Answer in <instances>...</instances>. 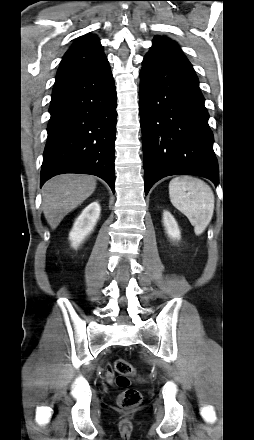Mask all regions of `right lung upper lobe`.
Segmentation results:
<instances>
[{
    "label": "right lung upper lobe",
    "mask_w": 254,
    "mask_h": 440,
    "mask_svg": "<svg viewBox=\"0 0 254 440\" xmlns=\"http://www.w3.org/2000/svg\"><path fill=\"white\" fill-rule=\"evenodd\" d=\"M106 62L100 40L95 35L81 36L65 53L56 81L97 68Z\"/></svg>",
    "instance_id": "1"
}]
</instances>
